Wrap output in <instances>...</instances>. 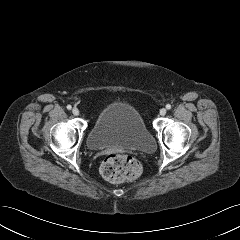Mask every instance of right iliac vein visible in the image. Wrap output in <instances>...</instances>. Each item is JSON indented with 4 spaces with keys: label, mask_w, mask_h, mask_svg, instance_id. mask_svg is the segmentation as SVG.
Returning <instances> with one entry per match:
<instances>
[{
    "label": "right iliac vein",
    "mask_w": 240,
    "mask_h": 240,
    "mask_svg": "<svg viewBox=\"0 0 240 240\" xmlns=\"http://www.w3.org/2000/svg\"><path fill=\"white\" fill-rule=\"evenodd\" d=\"M72 113H73V115L78 116L79 115V110L77 108H73Z\"/></svg>",
    "instance_id": "1"
}]
</instances>
